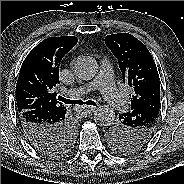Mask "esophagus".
<instances>
[{
  "instance_id": "1",
  "label": "esophagus",
  "mask_w": 184,
  "mask_h": 184,
  "mask_svg": "<svg viewBox=\"0 0 184 184\" xmlns=\"http://www.w3.org/2000/svg\"><path fill=\"white\" fill-rule=\"evenodd\" d=\"M96 107L94 106H84L79 108L78 112L81 114H91L95 111Z\"/></svg>"
}]
</instances>
